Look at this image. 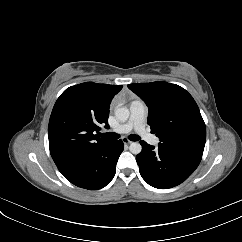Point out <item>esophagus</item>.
Listing matches in <instances>:
<instances>
[{
  "label": "esophagus",
  "mask_w": 242,
  "mask_h": 242,
  "mask_svg": "<svg viewBox=\"0 0 242 242\" xmlns=\"http://www.w3.org/2000/svg\"><path fill=\"white\" fill-rule=\"evenodd\" d=\"M122 141L124 144H131L132 141H130L128 138H122Z\"/></svg>",
  "instance_id": "esophagus-1"
}]
</instances>
